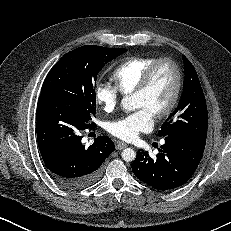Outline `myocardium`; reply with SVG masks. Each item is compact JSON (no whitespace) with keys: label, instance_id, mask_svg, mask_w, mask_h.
I'll use <instances>...</instances> for the list:
<instances>
[{"label":"myocardium","instance_id":"myocardium-1","mask_svg":"<svg viewBox=\"0 0 231 231\" xmlns=\"http://www.w3.org/2000/svg\"><path fill=\"white\" fill-rule=\"evenodd\" d=\"M163 63H166L172 67L174 71V75H175V83H174V89H173L169 102L166 104L164 108L153 113V115L158 119H161V118H164L170 115L172 111L175 109V107L177 106V103L179 101L181 91H182V86H183V75H182V71L178 63L170 57H162V58L156 59L146 69L138 86L133 91L134 95L145 93L151 83L155 70L160 64H163Z\"/></svg>","mask_w":231,"mask_h":231}]
</instances>
